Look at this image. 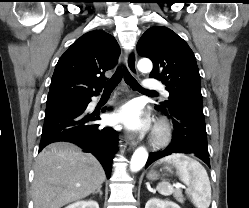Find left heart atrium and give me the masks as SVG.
<instances>
[{
	"label": "left heart atrium",
	"mask_w": 249,
	"mask_h": 208,
	"mask_svg": "<svg viewBox=\"0 0 249 208\" xmlns=\"http://www.w3.org/2000/svg\"><path fill=\"white\" fill-rule=\"evenodd\" d=\"M110 119L113 123L122 124L132 131H141L149 127V121L144 118L142 107L136 102L123 105Z\"/></svg>",
	"instance_id": "1"
}]
</instances>
